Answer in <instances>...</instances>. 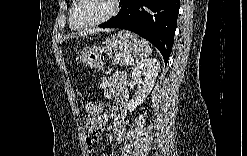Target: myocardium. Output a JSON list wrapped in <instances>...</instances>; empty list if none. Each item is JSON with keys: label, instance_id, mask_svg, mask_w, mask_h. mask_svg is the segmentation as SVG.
I'll return each instance as SVG.
<instances>
[{"label": "myocardium", "instance_id": "f54148a6", "mask_svg": "<svg viewBox=\"0 0 247 156\" xmlns=\"http://www.w3.org/2000/svg\"><path fill=\"white\" fill-rule=\"evenodd\" d=\"M111 3L110 6V11L104 15L103 17L91 22V23H87V24H79L75 21V12L76 9L78 8L79 4L82 2V0H77L74 2L71 13H70V24L74 29H88V28H92L95 26H98L106 21H108L109 19H111L118 11V1L117 0H108Z\"/></svg>", "mask_w": 247, "mask_h": 156}]
</instances>
